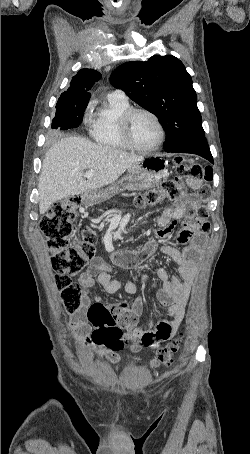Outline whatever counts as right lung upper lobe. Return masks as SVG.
Here are the masks:
<instances>
[{
	"instance_id": "1",
	"label": "right lung upper lobe",
	"mask_w": 250,
	"mask_h": 454,
	"mask_svg": "<svg viewBox=\"0 0 250 454\" xmlns=\"http://www.w3.org/2000/svg\"><path fill=\"white\" fill-rule=\"evenodd\" d=\"M101 74L93 69H81L72 78L70 87L63 92L58 99L60 103L88 102L90 93L88 92L94 83L100 80Z\"/></svg>"
}]
</instances>
